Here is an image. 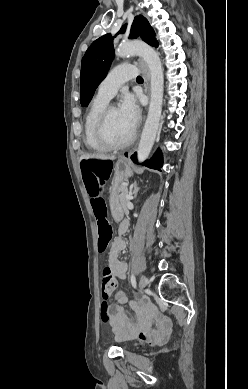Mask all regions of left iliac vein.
<instances>
[{"label":"left iliac vein","instance_id":"4c4485c4","mask_svg":"<svg viewBox=\"0 0 248 389\" xmlns=\"http://www.w3.org/2000/svg\"><path fill=\"white\" fill-rule=\"evenodd\" d=\"M148 284V279L145 275H141L140 280H139V287L141 291L147 286Z\"/></svg>","mask_w":248,"mask_h":389}]
</instances>
